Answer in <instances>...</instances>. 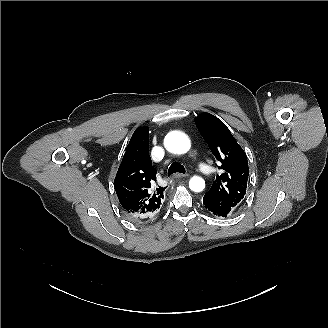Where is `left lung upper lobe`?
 I'll return each mask as SVG.
<instances>
[{"label":"left lung upper lobe","instance_id":"left-lung-upper-lobe-1","mask_svg":"<svg viewBox=\"0 0 328 328\" xmlns=\"http://www.w3.org/2000/svg\"><path fill=\"white\" fill-rule=\"evenodd\" d=\"M195 123L206 140L210 150L221 162L210 190L203 198L206 209L226 217L246 193L249 176L247 156L227 126L216 116L202 113Z\"/></svg>","mask_w":328,"mask_h":328}]
</instances>
